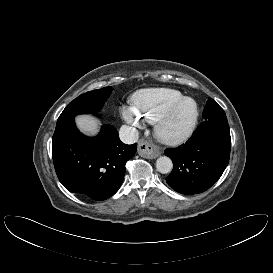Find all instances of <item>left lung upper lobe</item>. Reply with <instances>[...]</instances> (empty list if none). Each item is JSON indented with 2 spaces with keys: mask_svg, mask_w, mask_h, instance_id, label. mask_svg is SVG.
Returning a JSON list of instances; mask_svg holds the SVG:
<instances>
[{
  "mask_svg": "<svg viewBox=\"0 0 273 273\" xmlns=\"http://www.w3.org/2000/svg\"><path fill=\"white\" fill-rule=\"evenodd\" d=\"M203 118L205 121L227 120L224 110L211 98L204 108Z\"/></svg>",
  "mask_w": 273,
  "mask_h": 273,
  "instance_id": "5c2ea615",
  "label": "left lung upper lobe"
}]
</instances>
